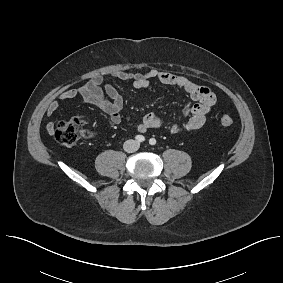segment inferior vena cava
I'll return each instance as SVG.
<instances>
[{"mask_svg": "<svg viewBox=\"0 0 283 283\" xmlns=\"http://www.w3.org/2000/svg\"><path fill=\"white\" fill-rule=\"evenodd\" d=\"M139 143L135 140H127L125 143H124V150L128 153H132V152H135L138 150L139 148Z\"/></svg>", "mask_w": 283, "mask_h": 283, "instance_id": "inferior-vena-cava-1", "label": "inferior vena cava"}]
</instances>
